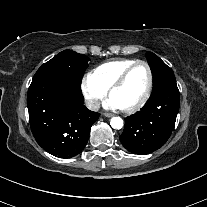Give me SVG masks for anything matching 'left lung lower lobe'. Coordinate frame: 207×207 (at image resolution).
I'll use <instances>...</instances> for the list:
<instances>
[{"label":"left lung lower lobe","instance_id":"left-lung-lower-lobe-1","mask_svg":"<svg viewBox=\"0 0 207 207\" xmlns=\"http://www.w3.org/2000/svg\"><path fill=\"white\" fill-rule=\"evenodd\" d=\"M177 86L153 92L146 105L125 119L122 145L134 154L146 155L162 147L170 137L179 111Z\"/></svg>","mask_w":207,"mask_h":207}]
</instances>
